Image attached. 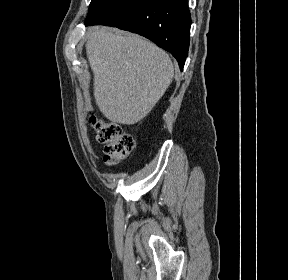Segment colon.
<instances>
[{"instance_id":"1","label":"colon","mask_w":288,"mask_h":280,"mask_svg":"<svg viewBox=\"0 0 288 280\" xmlns=\"http://www.w3.org/2000/svg\"><path fill=\"white\" fill-rule=\"evenodd\" d=\"M97 141L104 145V160L108 165H117L128 158L134 148V138L120 126L105 120L90 118Z\"/></svg>"}]
</instances>
